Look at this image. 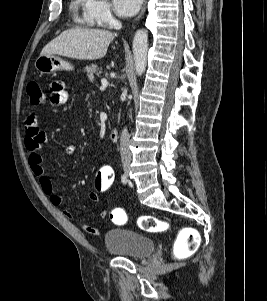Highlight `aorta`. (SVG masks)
<instances>
[{
	"label": "aorta",
	"instance_id": "1",
	"mask_svg": "<svg viewBox=\"0 0 267 301\" xmlns=\"http://www.w3.org/2000/svg\"><path fill=\"white\" fill-rule=\"evenodd\" d=\"M147 52H148V33L146 30L140 29L135 33L133 39L135 71L138 76H141L146 69Z\"/></svg>",
	"mask_w": 267,
	"mask_h": 301
}]
</instances>
